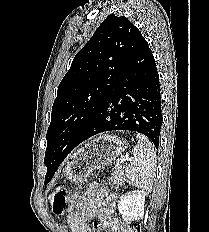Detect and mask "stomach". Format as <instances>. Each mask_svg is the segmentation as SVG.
<instances>
[{
  "label": "stomach",
  "mask_w": 209,
  "mask_h": 232,
  "mask_svg": "<svg viewBox=\"0 0 209 232\" xmlns=\"http://www.w3.org/2000/svg\"><path fill=\"white\" fill-rule=\"evenodd\" d=\"M126 148V142L118 136H99L70 157L64 174L74 183L82 182L93 171L110 165Z\"/></svg>",
  "instance_id": "stomach-1"
}]
</instances>
